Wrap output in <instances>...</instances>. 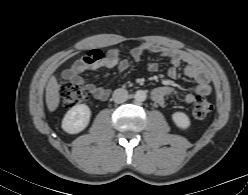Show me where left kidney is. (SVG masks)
<instances>
[{
  "instance_id": "5707ae66",
  "label": "left kidney",
  "mask_w": 248,
  "mask_h": 195,
  "mask_svg": "<svg viewBox=\"0 0 248 195\" xmlns=\"http://www.w3.org/2000/svg\"><path fill=\"white\" fill-rule=\"evenodd\" d=\"M172 120L181 129H187L190 127V119L184 112L173 113Z\"/></svg>"
}]
</instances>
